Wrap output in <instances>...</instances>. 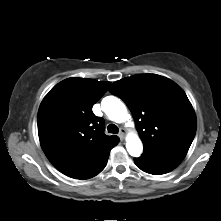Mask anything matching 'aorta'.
Masks as SVG:
<instances>
[{
	"label": "aorta",
	"mask_w": 221,
	"mask_h": 221,
	"mask_svg": "<svg viewBox=\"0 0 221 221\" xmlns=\"http://www.w3.org/2000/svg\"><path fill=\"white\" fill-rule=\"evenodd\" d=\"M102 110L110 120L122 123L130 119L124 103L114 96H107L101 102ZM126 149L133 157H139L143 151V144L137 134H129L126 137Z\"/></svg>",
	"instance_id": "762f6f07"
}]
</instances>
